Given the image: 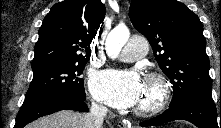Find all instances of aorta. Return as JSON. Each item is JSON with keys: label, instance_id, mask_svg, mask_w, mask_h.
I'll use <instances>...</instances> for the list:
<instances>
[{"label": "aorta", "instance_id": "obj_1", "mask_svg": "<svg viewBox=\"0 0 221 128\" xmlns=\"http://www.w3.org/2000/svg\"><path fill=\"white\" fill-rule=\"evenodd\" d=\"M129 37V29L125 25H118L112 29L108 34L105 42V50L107 55L111 59L117 58Z\"/></svg>", "mask_w": 221, "mask_h": 128}]
</instances>
